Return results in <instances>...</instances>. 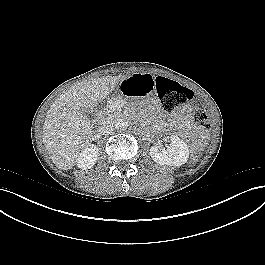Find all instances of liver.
I'll return each mask as SVG.
<instances>
[{
    "label": "liver",
    "instance_id": "obj_1",
    "mask_svg": "<svg viewBox=\"0 0 265 265\" xmlns=\"http://www.w3.org/2000/svg\"><path fill=\"white\" fill-rule=\"evenodd\" d=\"M121 80L122 76H106L79 82L51 105L43 126V142L59 169H72L78 154L90 145L93 131L85 112L107 99Z\"/></svg>",
    "mask_w": 265,
    "mask_h": 265
}]
</instances>
